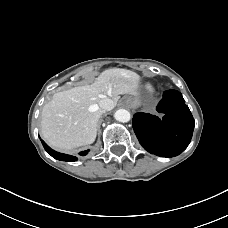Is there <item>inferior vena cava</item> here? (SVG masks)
Segmentation results:
<instances>
[{
    "instance_id": "1",
    "label": "inferior vena cava",
    "mask_w": 228,
    "mask_h": 228,
    "mask_svg": "<svg viewBox=\"0 0 228 228\" xmlns=\"http://www.w3.org/2000/svg\"><path fill=\"white\" fill-rule=\"evenodd\" d=\"M99 107L103 110H110L112 107V100L109 98H105L99 101Z\"/></svg>"
}]
</instances>
